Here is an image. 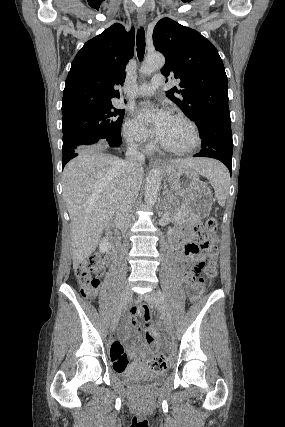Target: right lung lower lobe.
<instances>
[{
	"label": "right lung lower lobe",
	"mask_w": 285,
	"mask_h": 427,
	"mask_svg": "<svg viewBox=\"0 0 285 427\" xmlns=\"http://www.w3.org/2000/svg\"><path fill=\"white\" fill-rule=\"evenodd\" d=\"M92 149H87L85 147H79L77 150L70 151L68 154L63 155L62 159V168L66 165V163L71 160L72 158L76 157L78 154H81L85 151H89Z\"/></svg>",
	"instance_id": "1"
}]
</instances>
